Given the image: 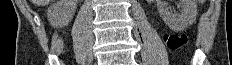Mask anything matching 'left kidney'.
<instances>
[{
	"label": "left kidney",
	"mask_w": 232,
	"mask_h": 65,
	"mask_svg": "<svg viewBox=\"0 0 232 65\" xmlns=\"http://www.w3.org/2000/svg\"><path fill=\"white\" fill-rule=\"evenodd\" d=\"M183 5L181 15H175L164 3V0H157V7L163 21L175 31H182L189 27L196 20L197 4L195 0H180Z\"/></svg>",
	"instance_id": "obj_1"
}]
</instances>
